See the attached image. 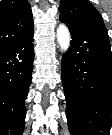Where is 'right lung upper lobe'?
I'll use <instances>...</instances> for the list:
<instances>
[{
  "mask_svg": "<svg viewBox=\"0 0 112 135\" xmlns=\"http://www.w3.org/2000/svg\"><path fill=\"white\" fill-rule=\"evenodd\" d=\"M30 4L26 0L0 1V52L33 31Z\"/></svg>",
  "mask_w": 112,
  "mask_h": 135,
  "instance_id": "cb5924a9",
  "label": "right lung upper lobe"
}]
</instances>
